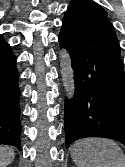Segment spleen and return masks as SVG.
<instances>
[{
    "instance_id": "spleen-1",
    "label": "spleen",
    "mask_w": 125,
    "mask_h": 167,
    "mask_svg": "<svg viewBox=\"0 0 125 167\" xmlns=\"http://www.w3.org/2000/svg\"><path fill=\"white\" fill-rule=\"evenodd\" d=\"M77 167H125V155L116 142L104 138H85L70 147Z\"/></svg>"
}]
</instances>
